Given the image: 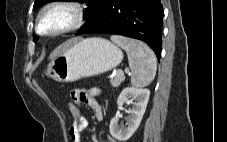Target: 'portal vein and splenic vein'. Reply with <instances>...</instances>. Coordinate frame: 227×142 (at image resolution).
Returning a JSON list of instances; mask_svg holds the SVG:
<instances>
[{"instance_id":"18ae733b","label":"portal vein and splenic vein","mask_w":227,"mask_h":142,"mask_svg":"<svg viewBox=\"0 0 227 142\" xmlns=\"http://www.w3.org/2000/svg\"><path fill=\"white\" fill-rule=\"evenodd\" d=\"M125 72H129V69H125ZM117 74H123V72L122 71H118V73Z\"/></svg>"}]
</instances>
